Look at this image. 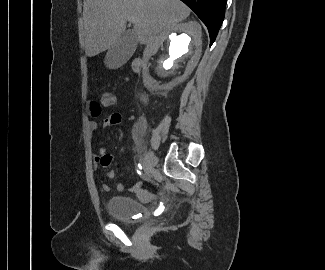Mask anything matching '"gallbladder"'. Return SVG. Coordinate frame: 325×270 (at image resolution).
I'll list each match as a JSON object with an SVG mask.
<instances>
[{
  "label": "gallbladder",
  "mask_w": 325,
  "mask_h": 270,
  "mask_svg": "<svg viewBox=\"0 0 325 270\" xmlns=\"http://www.w3.org/2000/svg\"><path fill=\"white\" fill-rule=\"evenodd\" d=\"M138 45L137 35L133 30L124 31L109 48L105 64L109 68H118L126 63Z\"/></svg>",
  "instance_id": "obj_1"
}]
</instances>
